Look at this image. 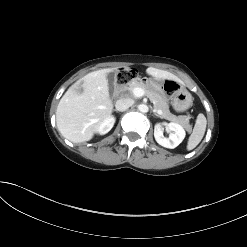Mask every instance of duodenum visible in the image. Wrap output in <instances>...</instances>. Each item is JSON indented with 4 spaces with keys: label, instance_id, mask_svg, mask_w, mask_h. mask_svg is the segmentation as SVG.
<instances>
[{
    "label": "duodenum",
    "instance_id": "1",
    "mask_svg": "<svg viewBox=\"0 0 247 247\" xmlns=\"http://www.w3.org/2000/svg\"><path fill=\"white\" fill-rule=\"evenodd\" d=\"M142 80L139 78H132L124 87L127 89L128 87H130L132 85V83H140Z\"/></svg>",
    "mask_w": 247,
    "mask_h": 247
}]
</instances>
